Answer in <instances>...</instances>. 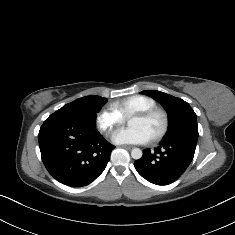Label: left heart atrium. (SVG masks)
<instances>
[{
	"label": "left heart atrium",
	"instance_id": "obj_1",
	"mask_svg": "<svg viewBox=\"0 0 235 235\" xmlns=\"http://www.w3.org/2000/svg\"><path fill=\"white\" fill-rule=\"evenodd\" d=\"M111 139L115 144H146L150 140L146 132L139 128L118 130Z\"/></svg>",
	"mask_w": 235,
	"mask_h": 235
}]
</instances>
